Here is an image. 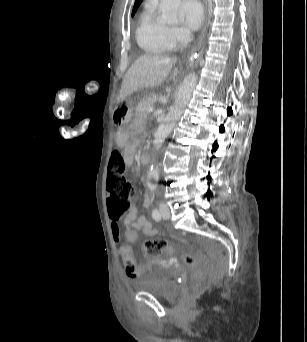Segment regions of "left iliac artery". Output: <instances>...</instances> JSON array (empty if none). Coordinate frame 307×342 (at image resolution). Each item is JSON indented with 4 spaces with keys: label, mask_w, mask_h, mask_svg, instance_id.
<instances>
[{
    "label": "left iliac artery",
    "mask_w": 307,
    "mask_h": 342,
    "mask_svg": "<svg viewBox=\"0 0 307 342\" xmlns=\"http://www.w3.org/2000/svg\"><path fill=\"white\" fill-rule=\"evenodd\" d=\"M152 191L156 190V187L151 188ZM152 217L153 219H155L156 221H159L161 219L160 213L157 209H153L152 211Z\"/></svg>",
    "instance_id": "1"
}]
</instances>
